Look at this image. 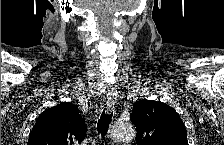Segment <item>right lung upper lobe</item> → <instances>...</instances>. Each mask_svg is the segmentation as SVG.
<instances>
[{
    "mask_svg": "<svg viewBox=\"0 0 224 145\" xmlns=\"http://www.w3.org/2000/svg\"><path fill=\"white\" fill-rule=\"evenodd\" d=\"M86 131L77 105L63 102L39 115L28 145H77L85 139Z\"/></svg>",
    "mask_w": 224,
    "mask_h": 145,
    "instance_id": "obj_1",
    "label": "right lung upper lobe"
}]
</instances>
